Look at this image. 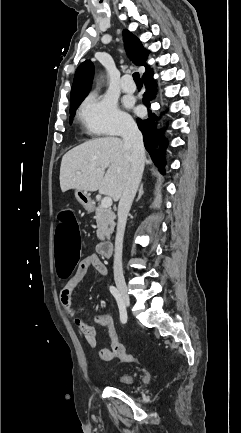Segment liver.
<instances>
[{"instance_id":"6515ba94","label":"liver","mask_w":241,"mask_h":433,"mask_svg":"<svg viewBox=\"0 0 241 433\" xmlns=\"http://www.w3.org/2000/svg\"><path fill=\"white\" fill-rule=\"evenodd\" d=\"M130 170L131 151L124 141L117 137L94 139L71 149L62 157L61 191H99L118 201Z\"/></svg>"}]
</instances>
